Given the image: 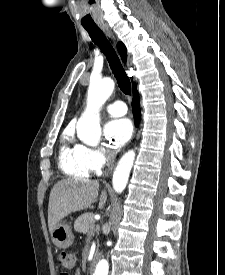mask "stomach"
I'll return each mask as SVG.
<instances>
[{"mask_svg": "<svg viewBox=\"0 0 225 275\" xmlns=\"http://www.w3.org/2000/svg\"><path fill=\"white\" fill-rule=\"evenodd\" d=\"M52 242L58 248H68L74 242V235L68 223L60 222L51 232Z\"/></svg>", "mask_w": 225, "mask_h": 275, "instance_id": "1", "label": "stomach"}]
</instances>
